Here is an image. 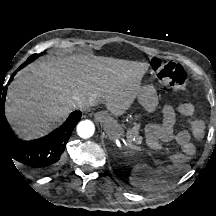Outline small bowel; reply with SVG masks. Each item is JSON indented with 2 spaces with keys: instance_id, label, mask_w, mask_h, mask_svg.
<instances>
[{
  "instance_id": "1",
  "label": "small bowel",
  "mask_w": 216,
  "mask_h": 216,
  "mask_svg": "<svg viewBox=\"0 0 216 216\" xmlns=\"http://www.w3.org/2000/svg\"><path fill=\"white\" fill-rule=\"evenodd\" d=\"M178 113L190 117L194 114L195 108L191 103H183L178 106ZM176 114L172 108H166L164 111V119L159 127V142L164 143L169 140H175L182 151L191 156L195 152V146L191 142V138L201 139L204 136V123L199 119H191L189 121V130H181L174 133Z\"/></svg>"
}]
</instances>
